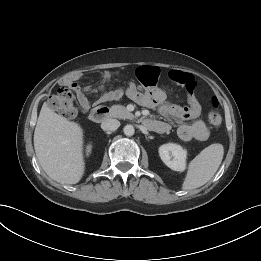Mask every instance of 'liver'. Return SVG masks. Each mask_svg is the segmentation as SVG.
I'll use <instances>...</instances> for the list:
<instances>
[{
	"mask_svg": "<svg viewBox=\"0 0 261 261\" xmlns=\"http://www.w3.org/2000/svg\"><path fill=\"white\" fill-rule=\"evenodd\" d=\"M83 129L42 105L34 132V148L45 173L61 184H76L85 171Z\"/></svg>",
	"mask_w": 261,
	"mask_h": 261,
	"instance_id": "6515ba94",
	"label": "liver"
}]
</instances>
